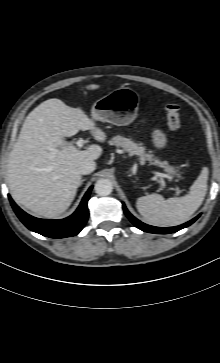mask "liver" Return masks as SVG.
I'll use <instances>...</instances> for the list:
<instances>
[{"mask_svg":"<svg viewBox=\"0 0 220 363\" xmlns=\"http://www.w3.org/2000/svg\"><path fill=\"white\" fill-rule=\"evenodd\" d=\"M85 88L97 90L100 86ZM80 130L89 131L99 142L107 137L81 108L69 107L56 98L42 102L28 114L7 166L8 186L18 205L45 218L58 217L68 209L80 186V165L102 153L100 146L78 150L64 140ZM51 148L58 152L54 154Z\"/></svg>","mask_w":220,"mask_h":363,"instance_id":"obj_1","label":"liver"}]
</instances>
